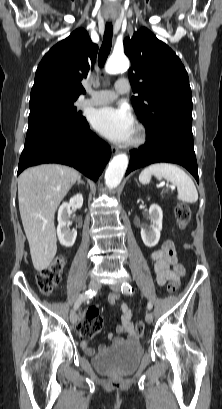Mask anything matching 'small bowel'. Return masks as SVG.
Here are the masks:
<instances>
[{
	"mask_svg": "<svg viewBox=\"0 0 222 409\" xmlns=\"http://www.w3.org/2000/svg\"><path fill=\"white\" fill-rule=\"evenodd\" d=\"M187 247V245H185ZM151 260L154 262V272L159 286H165L168 282H177L179 284L182 273L178 272L183 269V260H177L176 248L173 242L165 240L161 247L151 253ZM172 267V269H171ZM120 298L118 293H111L108 296V302L115 305ZM121 323L116 327L115 333H109L108 339L114 344L125 342H137L138 338L135 333L132 322V310L126 303L120 304ZM81 345L87 355H94L95 350L88 345L87 339H82ZM108 348L107 345L99 346V351L103 352Z\"/></svg>",
	"mask_w": 222,
	"mask_h": 409,
	"instance_id": "c3829d8e",
	"label": "small bowel"
}]
</instances>
